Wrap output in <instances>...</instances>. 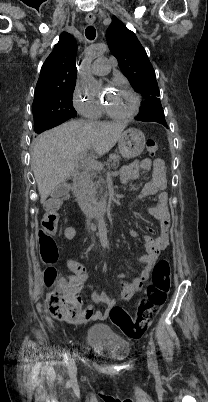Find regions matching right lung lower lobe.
Masks as SVG:
<instances>
[{
    "label": "right lung lower lobe",
    "instance_id": "1",
    "mask_svg": "<svg viewBox=\"0 0 208 402\" xmlns=\"http://www.w3.org/2000/svg\"><path fill=\"white\" fill-rule=\"evenodd\" d=\"M65 121L66 120H59L54 117L36 119L34 121L35 122V130L37 131V134H40L41 132L48 130L50 128H53L55 126H58Z\"/></svg>",
    "mask_w": 208,
    "mask_h": 402
}]
</instances>
